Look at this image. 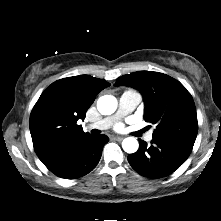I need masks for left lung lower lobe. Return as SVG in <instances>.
<instances>
[{
  "label": "left lung lower lobe",
  "mask_w": 221,
  "mask_h": 221,
  "mask_svg": "<svg viewBox=\"0 0 221 221\" xmlns=\"http://www.w3.org/2000/svg\"><path fill=\"white\" fill-rule=\"evenodd\" d=\"M139 149L128 155L132 168L148 178H162L177 170L190 155L193 145L173 138L153 137L151 146L139 139Z\"/></svg>",
  "instance_id": "obj_1"
}]
</instances>
